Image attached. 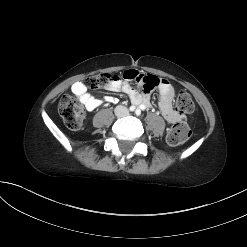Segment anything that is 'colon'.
I'll return each mask as SVG.
<instances>
[{
    "mask_svg": "<svg viewBox=\"0 0 247 247\" xmlns=\"http://www.w3.org/2000/svg\"><path fill=\"white\" fill-rule=\"evenodd\" d=\"M110 74L111 73H101L91 75L85 79L84 85L90 89L105 88L104 80ZM146 81L151 87L157 84V80L152 77H147ZM176 109L181 114H190L194 111V102L188 92H179L176 98ZM58 112L69 129L78 130L81 128L85 118V110L83 103L77 97L64 95L60 99ZM190 134L189 125L184 118H180L168 132L166 140L169 145L177 146L184 143L190 137Z\"/></svg>",
    "mask_w": 247,
    "mask_h": 247,
    "instance_id": "colon-1",
    "label": "colon"
}]
</instances>
